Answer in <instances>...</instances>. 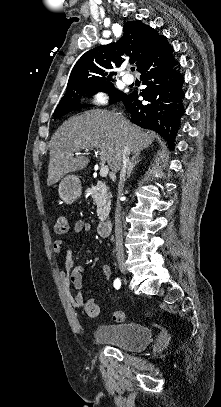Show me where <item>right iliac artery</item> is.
<instances>
[{
    "mask_svg": "<svg viewBox=\"0 0 221 407\" xmlns=\"http://www.w3.org/2000/svg\"><path fill=\"white\" fill-rule=\"evenodd\" d=\"M113 286H114L116 289H119V288H120V286H121V281H120L119 278H117V279L114 280Z\"/></svg>",
    "mask_w": 221,
    "mask_h": 407,
    "instance_id": "1",
    "label": "right iliac artery"
}]
</instances>
